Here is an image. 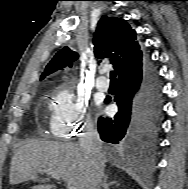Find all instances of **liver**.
Instances as JSON below:
<instances>
[{
    "instance_id": "6515ba94",
    "label": "liver",
    "mask_w": 188,
    "mask_h": 189,
    "mask_svg": "<svg viewBox=\"0 0 188 189\" xmlns=\"http://www.w3.org/2000/svg\"><path fill=\"white\" fill-rule=\"evenodd\" d=\"M40 170H53L76 189H87L90 175L89 158L80 146L69 142L30 140L19 147L12 157L9 182H38L32 189H52L50 179H39Z\"/></svg>"
}]
</instances>
